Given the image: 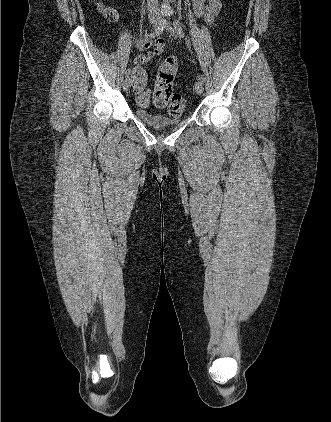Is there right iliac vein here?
I'll return each mask as SVG.
<instances>
[{
	"instance_id": "1",
	"label": "right iliac vein",
	"mask_w": 331,
	"mask_h": 422,
	"mask_svg": "<svg viewBox=\"0 0 331 422\" xmlns=\"http://www.w3.org/2000/svg\"><path fill=\"white\" fill-rule=\"evenodd\" d=\"M149 21L152 26H156L159 22V18L155 15H150ZM130 86H131V80L130 78L127 77L123 82V90L128 91L130 89Z\"/></svg>"
}]
</instances>
